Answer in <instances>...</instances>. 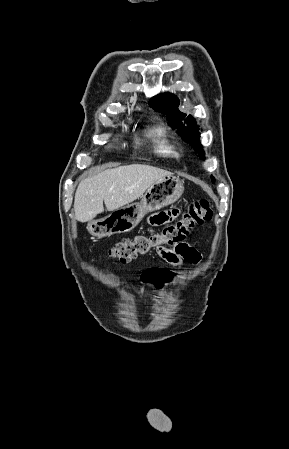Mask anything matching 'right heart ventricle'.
<instances>
[{
  "label": "right heart ventricle",
  "mask_w": 289,
  "mask_h": 449,
  "mask_svg": "<svg viewBox=\"0 0 289 449\" xmlns=\"http://www.w3.org/2000/svg\"><path fill=\"white\" fill-rule=\"evenodd\" d=\"M147 135L155 142V151L163 156L175 157L177 150L168 139L167 131L162 126H155L148 130Z\"/></svg>",
  "instance_id": "right-heart-ventricle-1"
}]
</instances>
